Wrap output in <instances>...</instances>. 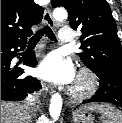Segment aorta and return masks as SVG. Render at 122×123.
<instances>
[{
	"label": "aorta",
	"instance_id": "obj_1",
	"mask_svg": "<svg viewBox=\"0 0 122 123\" xmlns=\"http://www.w3.org/2000/svg\"><path fill=\"white\" fill-rule=\"evenodd\" d=\"M67 16H68L67 11L64 8H56L53 11V17L58 21L66 19ZM61 109H62V97L60 94L55 93L51 98L49 107L50 116L54 121L58 120L61 113Z\"/></svg>",
	"mask_w": 122,
	"mask_h": 123
}]
</instances>
